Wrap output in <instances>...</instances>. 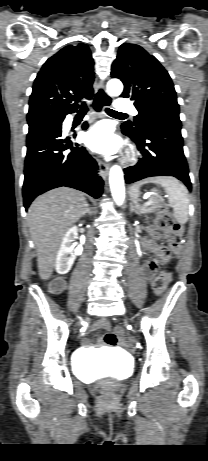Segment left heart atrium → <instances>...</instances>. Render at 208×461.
Wrapping results in <instances>:
<instances>
[{
    "instance_id": "1",
    "label": "left heart atrium",
    "mask_w": 208,
    "mask_h": 461,
    "mask_svg": "<svg viewBox=\"0 0 208 461\" xmlns=\"http://www.w3.org/2000/svg\"><path fill=\"white\" fill-rule=\"evenodd\" d=\"M86 145L96 153L113 154L118 151L121 141L106 123H99L85 135Z\"/></svg>"
}]
</instances>
